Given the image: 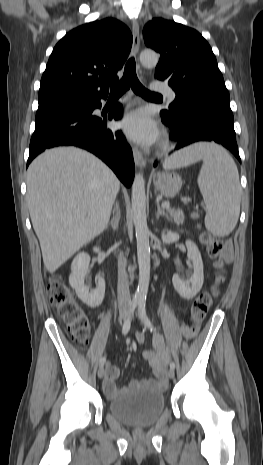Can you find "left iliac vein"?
I'll return each instance as SVG.
<instances>
[{
  "label": "left iliac vein",
  "instance_id": "left-iliac-vein-1",
  "mask_svg": "<svg viewBox=\"0 0 263 465\" xmlns=\"http://www.w3.org/2000/svg\"><path fill=\"white\" fill-rule=\"evenodd\" d=\"M174 376H175L174 369L170 368V369L168 370V377L171 378V379H173Z\"/></svg>",
  "mask_w": 263,
  "mask_h": 465
}]
</instances>
